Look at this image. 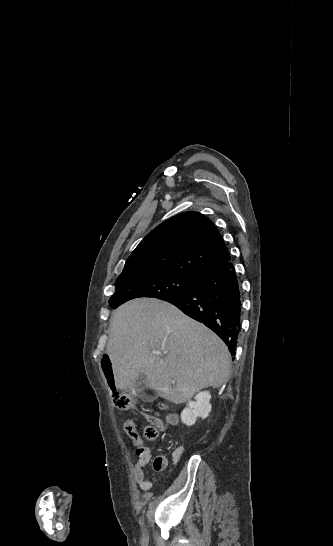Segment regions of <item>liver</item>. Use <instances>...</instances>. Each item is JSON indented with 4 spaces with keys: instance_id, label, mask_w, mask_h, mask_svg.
Listing matches in <instances>:
<instances>
[{
    "instance_id": "liver-1",
    "label": "liver",
    "mask_w": 333,
    "mask_h": 546,
    "mask_svg": "<svg viewBox=\"0 0 333 546\" xmlns=\"http://www.w3.org/2000/svg\"><path fill=\"white\" fill-rule=\"evenodd\" d=\"M106 352L116 389L133 390L145 374L147 387L175 404L200 389L220 387L230 376L223 341L175 306L152 298L131 300L114 312Z\"/></svg>"
}]
</instances>
